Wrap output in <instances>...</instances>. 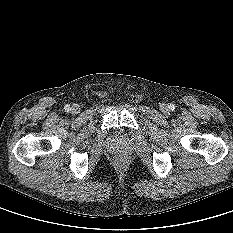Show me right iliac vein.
Instances as JSON below:
<instances>
[{"instance_id":"right-iliac-vein-1","label":"right iliac vein","mask_w":233,"mask_h":233,"mask_svg":"<svg viewBox=\"0 0 233 233\" xmlns=\"http://www.w3.org/2000/svg\"><path fill=\"white\" fill-rule=\"evenodd\" d=\"M79 111H80V106H79V105L74 104V105L71 107V113L77 114V113H79Z\"/></svg>"}]
</instances>
